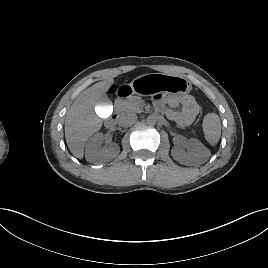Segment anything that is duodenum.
<instances>
[{
	"label": "duodenum",
	"mask_w": 268,
	"mask_h": 268,
	"mask_svg": "<svg viewBox=\"0 0 268 268\" xmlns=\"http://www.w3.org/2000/svg\"><path fill=\"white\" fill-rule=\"evenodd\" d=\"M127 96V93L125 91H120L117 96V100L120 101L124 99ZM119 118L118 113H113L111 117L108 118L107 122L109 126H113Z\"/></svg>",
	"instance_id": "duodenum-1"
}]
</instances>
